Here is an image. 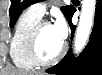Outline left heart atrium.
I'll list each match as a JSON object with an SVG mask.
<instances>
[{
	"label": "left heart atrium",
	"instance_id": "1",
	"mask_svg": "<svg viewBox=\"0 0 102 75\" xmlns=\"http://www.w3.org/2000/svg\"><path fill=\"white\" fill-rule=\"evenodd\" d=\"M53 27H54L59 39L62 42H64L67 37V33H68L67 25H66L64 18L58 17L55 24L53 25Z\"/></svg>",
	"mask_w": 102,
	"mask_h": 75
}]
</instances>
